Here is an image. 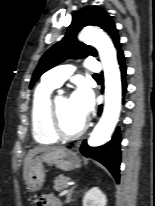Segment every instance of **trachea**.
<instances>
[{
    "instance_id": "3493384b",
    "label": "trachea",
    "mask_w": 155,
    "mask_h": 206,
    "mask_svg": "<svg viewBox=\"0 0 155 206\" xmlns=\"http://www.w3.org/2000/svg\"><path fill=\"white\" fill-rule=\"evenodd\" d=\"M94 77H99V74H94Z\"/></svg>"
}]
</instances>
